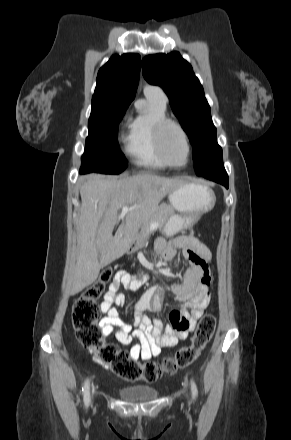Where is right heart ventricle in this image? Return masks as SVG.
I'll return each mask as SVG.
<instances>
[{"label":"right heart ventricle","mask_w":291,"mask_h":440,"mask_svg":"<svg viewBox=\"0 0 291 440\" xmlns=\"http://www.w3.org/2000/svg\"><path fill=\"white\" fill-rule=\"evenodd\" d=\"M148 111L131 118L129 132L125 140V154L130 161L142 167L164 168L159 158L154 137V125L166 118V103L152 95H146Z\"/></svg>","instance_id":"e07e8e85"}]
</instances>
